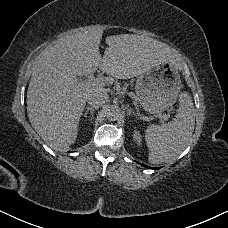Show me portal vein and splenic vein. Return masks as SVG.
<instances>
[{
    "label": "portal vein and splenic vein",
    "instance_id": "obj_1",
    "mask_svg": "<svg viewBox=\"0 0 228 228\" xmlns=\"http://www.w3.org/2000/svg\"><path fill=\"white\" fill-rule=\"evenodd\" d=\"M85 82L87 83V84H89V85H94V86H96V85H99V82H100V79H98V78H96V77H94V76H88L87 78H86V80H85ZM149 115L151 116V117H156V118H162L163 117V120L165 121L166 119H168V116H166V115H164V116H158L157 114H152L151 112L149 113Z\"/></svg>",
    "mask_w": 228,
    "mask_h": 228
}]
</instances>
